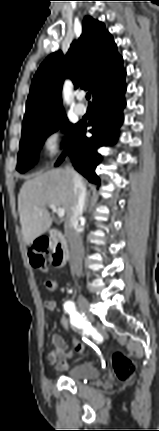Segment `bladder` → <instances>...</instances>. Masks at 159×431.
I'll use <instances>...</instances> for the list:
<instances>
[{
    "instance_id": "31cf9c89",
    "label": "bladder",
    "mask_w": 159,
    "mask_h": 431,
    "mask_svg": "<svg viewBox=\"0 0 159 431\" xmlns=\"http://www.w3.org/2000/svg\"><path fill=\"white\" fill-rule=\"evenodd\" d=\"M98 376V369L89 362L79 363L66 372V377L74 381L89 380Z\"/></svg>"
}]
</instances>
